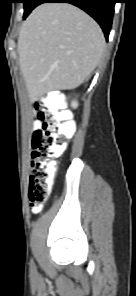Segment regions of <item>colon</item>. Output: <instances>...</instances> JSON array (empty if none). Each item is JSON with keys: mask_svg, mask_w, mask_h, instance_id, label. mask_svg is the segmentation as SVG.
Returning <instances> with one entry per match:
<instances>
[{"mask_svg": "<svg viewBox=\"0 0 136 296\" xmlns=\"http://www.w3.org/2000/svg\"><path fill=\"white\" fill-rule=\"evenodd\" d=\"M39 127L33 134L28 199L37 211L45 203L55 173V158L67 148L75 124L52 97L42 99L35 107Z\"/></svg>", "mask_w": 136, "mask_h": 296, "instance_id": "5ec220e1", "label": "colon"}]
</instances>
